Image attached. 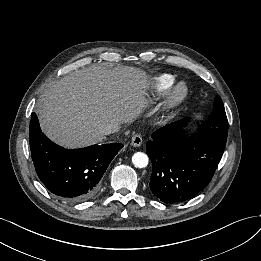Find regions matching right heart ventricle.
Here are the masks:
<instances>
[{
	"label": "right heart ventricle",
	"instance_id": "right-heart-ventricle-1",
	"mask_svg": "<svg viewBox=\"0 0 261 261\" xmlns=\"http://www.w3.org/2000/svg\"><path fill=\"white\" fill-rule=\"evenodd\" d=\"M176 82V77L171 74H161L154 77L150 83V95L148 102H151L158 95L166 93Z\"/></svg>",
	"mask_w": 261,
	"mask_h": 261
}]
</instances>
